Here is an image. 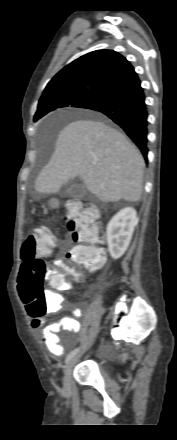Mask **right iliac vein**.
Instances as JSON below:
<instances>
[{
    "instance_id": "right-iliac-vein-1",
    "label": "right iliac vein",
    "mask_w": 177,
    "mask_h": 440,
    "mask_svg": "<svg viewBox=\"0 0 177 440\" xmlns=\"http://www.w3.org/2000/svg\"><path fill=\"white\" fill-rule=\"evenodd\" d=\"M85 351V350H84ZM83 351V352H84ZM78 360V356L73 357L72 359H70L67 364L65 365L64 368V377H63V389L65 391H69L70 387H71V375H72V370L73 367L75 366L76 362Z\"/></svg>"
}]
</instances>
